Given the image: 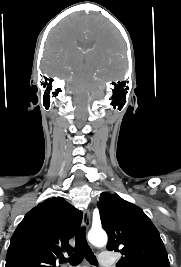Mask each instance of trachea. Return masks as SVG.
Returning a JSON list of instances; mask_svg holds the SVG:
<instances>
[{
  "label": "trachea",
  "instance_id": "trachea-1",
  "mask_svg": "<svg viewBox=\"0 0 181 267\" xmlns=\"http://www.w3.org/2000/svg\"><path fill=\"white\" fill-rule=\"evenodd\" d=\"M83 258H86V260L90 264L97 265L96 257L87 243L84 228L80 229L76 236L75 251L74 254L68 259V261L71 265H78L83 260ZM66 261V259L61 260V262Z\"/></svg>",
  "mask_w": 181,
  "mask_h": 267
}]
</instances>
